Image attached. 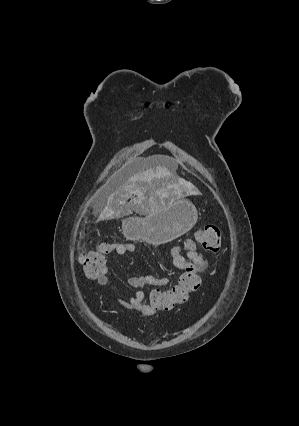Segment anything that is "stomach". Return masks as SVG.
I'll return each mask as SVG.
<instances>
[{
  "label": "stomach",
  "instance_id": "obj_1",
  "mask_svg": "<svg viewBox=\"0 0 299 426\" xmlns=\"http://www.w3.org/2000/svg\"><path fill=\"white\" fill-rule=\"evenodd\" d=\"M197 220L198 212L194 204L186 199H177L159 206L145 217L125 219L123 232L131 240H143L159 246L187 233Z\"/></svg>",
  "mask_w": 299,
  "mask_h": 426
}]
</instances>
